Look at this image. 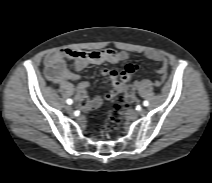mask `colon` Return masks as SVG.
I'll return each mask as SVG.
<instances>
[{
    "instance_id": "5ec220e1",
    "label": "colon",
    "mask_w": 212,
    "mask_h": 183,
    "mask_svg": "<svg viewBox=\"0 0 212 183\" xmlns=\"http://www.w3.org/2000/svg\"><path fill=\"white\" fill-rule=\"evenodd\" d=\"M134 101V87L127 85L125 87L124 96L114 105L111 120L109 123V129H116L120 124L125 109Z\"/></svg>"
}]
</instances>
